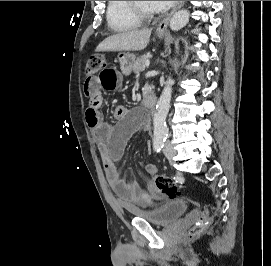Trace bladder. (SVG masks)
<instances>
[{
	"mask_svg": "<svg viewBox=\"0 0 271 266\" xmlns=\"http://www.w3.org/2000/svg\"><path fill=\"white\" fill-rule=\"evenodd\" d=\"M189 208L186 201L179 200L147 211L133 209L131 214L156 226H167L179 219Z\"/></svg>",
	"mask_w": 271,
	"mask_h": 266,
	"instance_id": "31cf9c89",
	"label": "bladder"
}]
</instances>
